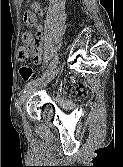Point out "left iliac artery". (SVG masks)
Returning a JSON list of instances; mask_svg holds the SVG:
<instances>
[{
  "label": "left iliac artery",
  "instance_id": "left-iliac-artery-1",
  "mask_svg": "<svg viewBox=\"0 0 123 167\" xmlns=\"http://www.w3.org/2000/svg\"><path fill=\"white\" fill-rule=\"evenodd\" d=\"M58 62H59V56H58V54H56L53 61L50 63L48 69L37 79L31 80L30 82H28L25 85L23 92L25 93L28 89H31L32 87H34V85L37 84V82H39L45 76H47L57 66Z\"/></svg>",
  "mask_w": 123,
  "mask_h": 167
}]
</instances>
